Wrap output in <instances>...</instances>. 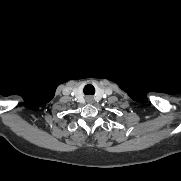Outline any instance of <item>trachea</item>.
<instances>
[{"label":"trachea","instance_id":"trachea-1","mask_svg":"<svg viewBox=\"0 0 181 181\" xmlns=\"http://www.w3.org/2000/svg\"><path fill=\"white\" fill-rule=\"evenodd\" d=\"M84 94L85 95H94L95 93V88L93 85L91 84H87L85 87H84Z\"/></svg>","mask_w":181,"mask_h":181}]
</instances>
